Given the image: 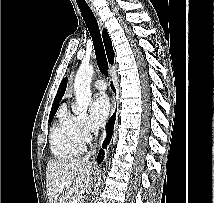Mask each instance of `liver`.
<instances>
[{
    "mask_svg": "<svg viewBox=\"0 0 214 203\" xmlns=\"http://www.w3.org/2000/svg\"><path fill=\"white\" fill-rule=\"evenodd\" d=\"M95 169L86 159L56 160L47 163L46 189L50 203L58 197V203H67V200L75 193L82 196L92 186V174ZM73 181V185L67 186L65 191L58 192V187L66 181ZM55 203V202H54Z\"/></svg>",
    "mask_w": 214,
    "mask_h": 203,
    "instance_id": "obj_1",
    "label": "liver"
}]
</instances>
